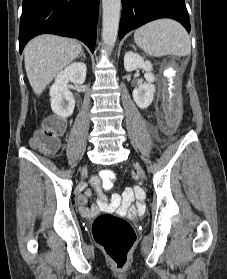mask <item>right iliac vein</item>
Wrapping results in <instances>:
<instances>
[{
  "label": "right iliac vein",
  "instance_id": "obj_1",
  "mask_svg": "<svg viewBox=\"0 0 227 279\" xmlns=\"http://www.w3.org/2000/svg\"><path fill=\"white\" fill-rule=\"evenodd\" d=\"M85 173H86V167H84L83 170H82V176H84Z\"/></svg>",
  "mask_w": 227,
  "mask_h": 279
}]
</instances>
